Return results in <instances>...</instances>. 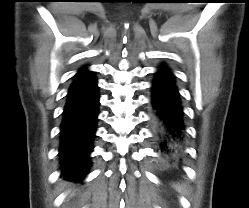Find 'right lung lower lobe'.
<instances>
[{"label": "right lung lower lobe", "instance_id": "1", "mask_svg": "<svg viewBox=\"0 0 249 208\" xmlns=\"http://www.w3.org/2000/svg\"><path fill=\"white\" fill-rule=\"evenodd\" d=\"M94 73L76 77L71 84L60 126L59 157L62 176L82 181L90 166L99 106Z\"/></svg>", "mask_w": 249, "mask_h": 208}]
</instances>
